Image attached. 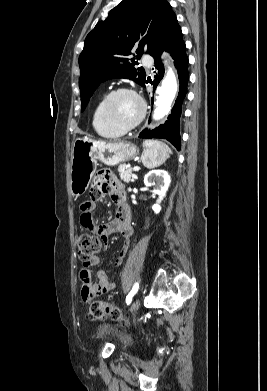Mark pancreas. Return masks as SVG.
<instances>
[{
	"instance_id": "pancreas-1",
	"label": "pancreas",
	"mask_w": 267,
	"mask_h": 391,
	"mask_svg": "<svg viewBox=\"0 0 267 391\" xmlns=\"http://www.w3.org/2000/svg\"><path fill=\"white\" fill-rule=\"evenodd\" d=\"M118 172L121 180L125 183H129L131 181L132 168H127L125 165H120L118 167Z\"/></svg>"
}]
</instances>
